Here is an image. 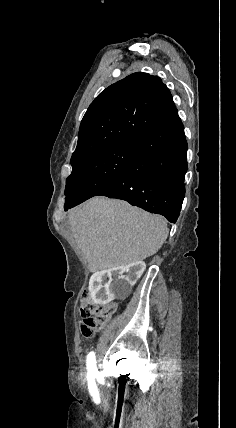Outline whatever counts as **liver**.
<instances>
[{"label":"liver","instance_id":"1","mask_svg":"<svg viewBox=\"0 0 236 428\" xmlns=\"http://www.w3.org/2000/svg\"><path fill=\"white\" fill-rule=\"evenodd\" d=\"M68 220L90 272L119 268L154 256L169 234L162 216L148 214L124 200L102 196L70 210Z\"/></svg>","mask_w":236,"mask_h":428}]
</instances>
